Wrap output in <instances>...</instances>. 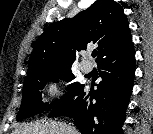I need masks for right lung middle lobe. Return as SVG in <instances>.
<instances>
[{
  "instance_id": "1",
  "label": "right lung middle lobe",
  "mask_w": 153,
  "mask_h": 134,
  "mask_svg": "<svg viewBox=\"0 0 153 134\" xmlns=\"http://www.w3.org/2000/svg\"><path fill=\"white\" fill-rule=\"evenodd\" d=\"M61 76L66 82L75 78L70 70V66L49 69L25 78L23 97L17 119H25L43 111L52 110L60 104L69 101L84 86L79 82L71 83L67 87L68 93L61 100H56L49 105L43 103L40 91L48 81L58 82Z\"/></svg>"
}]
</instances>
